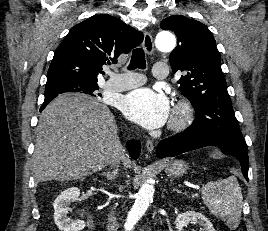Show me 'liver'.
<instances>
[{
    "mask_svg": "<svg viewBox=\"0 0 268 231\" xmlns=\"http://www.w3.org/2000/svg\"><path fill=\"white\" fill-rule=\"evenodd\" d=\"M115 159L130 165L115 117L101 101L62 94L40 114L33 154L36 182L85 178Z\"/></svg>",
    "mask_w": 268,
    "mask_h": 231,
    "instance_id": "liver-1",
    "label": "liver"
}]
</instances>
